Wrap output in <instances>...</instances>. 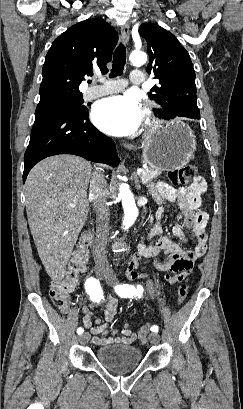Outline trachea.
<instances>
[{"label":"trachea","instance_id":"obj_1","mask_svg":"<svg viewBox=\"0 0 243 409\" xmlns=\"http://www.w3.org/2000/svg\"><path fill=\"white\" fill-rule=\"evenodd\" d=\"M125 62H126V48L123 44H119V46L114 51L113 65H112V69L110 73V78L119 76L123 73Z\"/></svg>","mask_w":243,"mask_h":409}]
</instances>
